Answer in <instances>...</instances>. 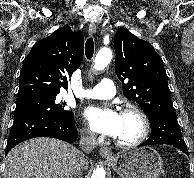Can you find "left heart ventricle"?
I'll use <instances>...</instances> for the list:
<instances>
[{"mask_svg": "<svg viewBox=\"0 0 194 178\" xmlns=\"http://www.w3.org/2000/svg\"><path fill=\"white\" fill-rule=\"evenodd\" d=\"M141 132V123L133 114H120V128L115 138L121 141H132Z\"/></svg>", "mask_w": 194, "mask_h": 178, "instance_id": "b2bd125f", "label": "left heart ventricle"}]
</instances>
